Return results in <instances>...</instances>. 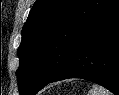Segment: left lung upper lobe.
<instances>
[{
  "mask_svg": "<svg viewBox=\"0 0 119 95\" xmlns=\"http://www.w3.org/2000/svg\"><path fill=\"white\" fill-rule=\"evenodd\" d=\"M118 0H37L22 29L20 95H34L68 64L78 42Z\"/></svg>",
  "mask_w": 119,
  "mask_h": 95,
  "instance_id": "5c2ea615",
  "label": "left lung upper lobe"
}]
</instances>
